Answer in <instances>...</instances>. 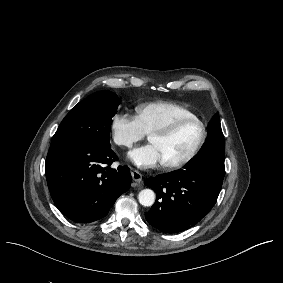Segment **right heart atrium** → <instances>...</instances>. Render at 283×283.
<instances>
[{"instance_id":"d8ad5b80","label":"right heart atrium","mask_w":283,"mask_h":283,"mask_svg":"<svg viewBox=\"0 0 283 283\" xmlns=\"http://www.w3.org/2000/svg\"><path fill=\"white\" fill-rule=\"evenodd\" d=\"M109 131L112 142L118 147L129 148L146 136L137 116L120 111L112 114Z\"/></svg>"}]
</instances>
